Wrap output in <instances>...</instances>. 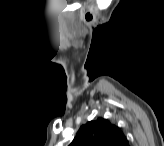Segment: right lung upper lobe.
Here are the masks:
<instances>
[{"label":"right lung upper lobe","mask_w":164,"mask_h":146,"mask_svg":"<svg viewBox=\"0 0 164 146\" xmlns=\"http://www.w3.org/2000/svg\"><path fill=\"white\" fill-rule=\"evenodd\" d=\"M70 146H128L120 129L103 118L80 127Z\"/></svg>","instance_id":"1"}]
</instances>
